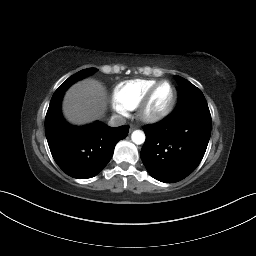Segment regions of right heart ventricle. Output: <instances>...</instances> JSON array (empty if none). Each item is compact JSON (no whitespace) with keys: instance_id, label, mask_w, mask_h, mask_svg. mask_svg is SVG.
<instances>
[{"instance_id":"1","label":"right heart ventricle","mask_w":256,"mask_h":256,"mask_svg":"<svg viewBox=\"0 0 256 256\" xmlns=\"http://www.w3.org/2000/svg\"><path fill=\"white\" fill-rule=\"evenodd\" d=\"M157 83L153 79H134L119 83L113 90V103L116 108L134 110L147 91Z\"/></svg>"}]
</instances>
